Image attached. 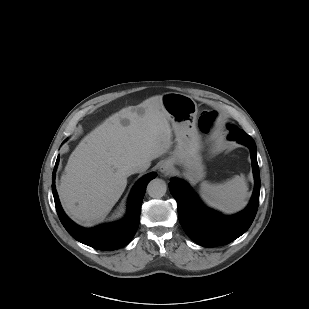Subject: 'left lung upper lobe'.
Returning <instances> with one entry per match:
<instances>
[{
	"instance_id": "left-lung-upper-lobe-1",
	"label": "left lung upper lobe",
	"mask_w": 309,
	"mask_h": 309,
	"mask_svg": "<svg viewBox=\"0 0 309 309\" xmlns=\"http://www.w3.org/2000/svg\"><path fill=\"white\" fill-rule=\"evenodd\" d=\"M228 128L231 130L229 136L240 135V136H248L242 129L236 128L234 126L229 125Z\"/></svg>"
}]
</instances>
